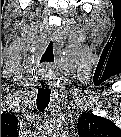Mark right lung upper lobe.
I'll use <instances>...</instances> for the list:
<instances>
[{
	"label": "right lung upper lobe",
	"mask_w": 121,
	"mask_h": 137,
	"mask_svg": "<svg viewBox=\"0 0 121 137\" xmlns=\"http://www.w3.org/2000/svg\"><path fill=\"white\" fill-rule=\"evenodd\" d=\"M17 131V120L13 114L1 115V135H13Z\"/></svg>",
	"instance_id": "cb5924a9"
}]
</instances>
